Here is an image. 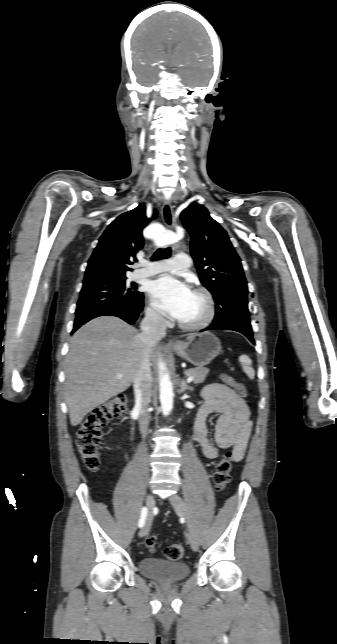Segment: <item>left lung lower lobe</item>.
<instances>
[{
	"mask_svg": "<svg viewBox=\"0 0 337 644\" xmlns=\"http://www.w3.org/2000/svg\"><path fill=\"white\" fill-rule=\"evenodd\" d=\"M206 330H233V331H237V332H240V333L244 334L246 337H248V338H249V340H250L253 344L255 343L254 338H253V333H245L244 331H242V330H240V329H238V328H236V327H234V326H231V325H227V324H214V323H213V324H211L209 327H207V328H205V329H203V330H201V331H206Z\"/></svg>",
	"mask_w": 337,
	"mask_h": 644,
	"instance_id": "1",
	"label": "left lung lower lobe"
}]
</instances>
